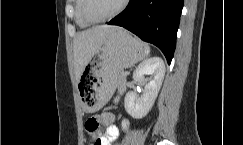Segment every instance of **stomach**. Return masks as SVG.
I'll list each match as a JSON object with an SVG mask.
<instances>
[{
	"mask_svg": "<svg viewBox=\"0 0 243 145\" xmlns=\"http://www.w3.org/2000/svg\"><path fill=\"white\" fill-rule=\"evenodd\" d=\"M147 44L121 29L110 34L93 60L82 72L78 102L83 113H96L112 96L118 85V74L132 67L149 54Z\"/></svg>",
	"mask_w": 243,
	"mask_h": 145,
	"instance_id": "stomach-1",
	"label": "stomach"
}]
</instances>
